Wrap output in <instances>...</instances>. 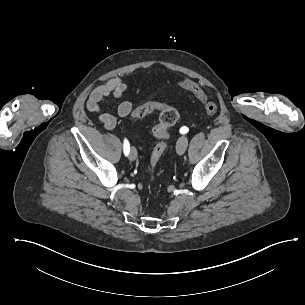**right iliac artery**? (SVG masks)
I'll return each instance as SVG.
<instances>
[{
	"label": "right iliac artery",
	"instance_id": "right-iliac-artery-1",
	"mask_svg": "<svg viewBox=\"0 0 305 305\" xmlns=\"http://www.w3.org/2000/svg\"><path fill=\"white\" fill-rule=\"evenodd\" d=\"M123 149H124L125 156H127L129 154V151H130V144H129L127 139L124 140V147H123Z\"/></svg>",
	"mask_w": 305,
	"mask_h": 305
}]
</instances>
